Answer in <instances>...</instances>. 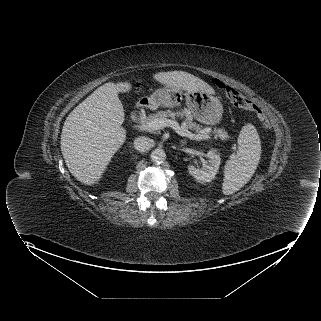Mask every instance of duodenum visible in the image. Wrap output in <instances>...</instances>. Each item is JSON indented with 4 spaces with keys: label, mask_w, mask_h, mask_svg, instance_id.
Returning <instances> with one entry per match:
<instances>
[{
    "label": "duodenum",
    "mask_w": 321,
    "mask_h": 321,
    "mask_svg": "<svg viewBox=\"0 0 321 321\" xmlns=\"http://www.w3.org/2000/svg\"><path fill=\"white\" fill-rule=\"evenodd\" d=\"M149 100L148 99H141L138 103H137V106H136V110L132 113V118H137L138 116V110L140 109H143V108H146L148 105H149Z\"/></svg>",
    "instance_id": "duodenum-1"
}]
</instances>
